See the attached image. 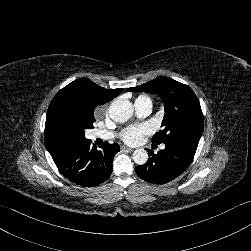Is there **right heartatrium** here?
I'll return each mask as SVG.
<instances>
[{
    "label": "right heart atrium",
    "instance_id": "obj_1",
    "mask_svg": "<svg viewBox=\"0 0 251 251\" xmlns=\"http://www.w3.org/2000/svg\"><path fill=\"white\" fill-rule=\"evenodd\" d=\"M106 109H107V106L103 105V106H101V107L98 108V112L99 113H104L106 111Z\"/></svg>",
    "mask_w": 251,
    "mask_h": 251
}]
</instances>
